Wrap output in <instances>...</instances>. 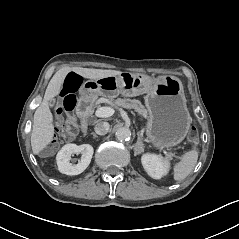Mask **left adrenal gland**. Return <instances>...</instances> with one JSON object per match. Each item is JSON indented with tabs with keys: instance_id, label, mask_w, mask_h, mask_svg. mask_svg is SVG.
Listing matches in <instances>:
<instances>
[{
	"instance_id": "left-adrenal-gland-1",
	"label": "left adrenal gland",
	"mask_w": 239,
	"mask_h": 239,
	"mask_svg": "<svg viewBox=\"0 0 239 239\" xmlns=\"http://www.w3.org/2000/svg\"><path fill=\"white\" fill-rule=\"evenodd\" d=\"M140 146H143V144L140 142V138L138 137V140H137L136 144L133 146L135 155H138V149H139Z\"/></svg>"
}]
</instances>
